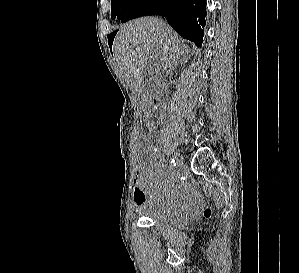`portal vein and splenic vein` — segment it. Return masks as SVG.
<instances>
[{"mask_svg": "<svg viewBox=\"0 0 299 273\" xmlns=\"http://www.w3.org/2000/svg\"><path fill=\"white\" fill-rule=\"evenodd\" d=\"M153 57L157 58V56L155 54H152Z\"/></svg>", "mask_w": 299, "mask_h": 273, "instance_id": "obj_1", "label": "portal vein and splenic vein"}]
</instances>
